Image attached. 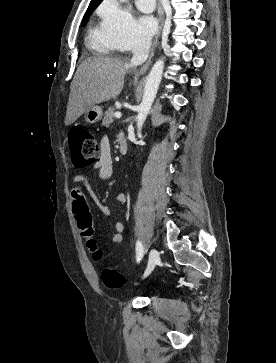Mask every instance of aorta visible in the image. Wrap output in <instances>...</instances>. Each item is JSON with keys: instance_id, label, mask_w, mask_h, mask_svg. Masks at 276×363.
<instances>
[{"instance_id": "1", "label": "aorta", "mask_w": 276, "mask_h": 363, "mask_svg": "<svg viewBox=\"0 0 276 363\" xmlns=\"http://www.w3.org/2000/svg\"><path fill=\"white\" fill-rule=\"evenodd\" d=\"M119 1L123 3L126 2L127 0H119ZM163 70H164V59H158L153 65L146 79L143 98L139 107L138 115L136 117L138 135H140L141 133L143 124L147 118V115L156 97L157 90L162 79Z\"/></svg>"}]
</instances>
